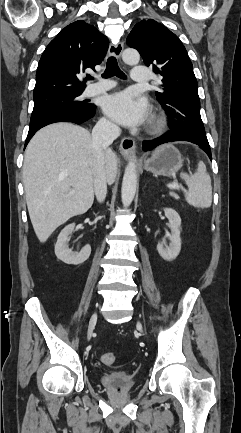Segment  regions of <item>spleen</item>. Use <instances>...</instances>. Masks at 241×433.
Wrapping results in <instances>:
<instances>
[{
  "label": "spleen",
  "mask_w": 241,
  "mask_h": 433,
  "mask_svg": "<svg viewBox=\"0 0 241 433\" xmlns=\"http://www.w3.org/2000/svg\"><path fill=\"white\" fill-rule=\"evenodd\" d=\"M180 176L188 186V192L185 193L186 201L194 207L209 208L212 203V186L205 164L199 161L197 171L193 175L181 173Z\"/></svg>",
  "instance_id": "1"
}]
</instances>
